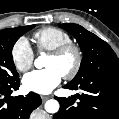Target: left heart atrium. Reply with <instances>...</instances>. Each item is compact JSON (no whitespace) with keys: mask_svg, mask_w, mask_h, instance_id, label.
Segmentation results:
<instances>
[{"mask_svg":"<svg viewBox=\"0 0 119 119\" xmlns=\"http://www.w3.org/2000/svg\"><path fill=\"white\" fill-rule=\"evenodd\" d=\"M62 74L55 68L34 70L23 78V86L27 91L47 94L59 85Z\"/></svg>","mask_w":119,"mask_h":119,"instance_id":"obj_1","label":"left heart atrium"}]
</instances>
